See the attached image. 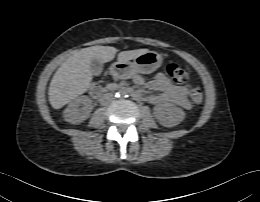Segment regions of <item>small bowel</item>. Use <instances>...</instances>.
<instances>
[{
  "label": "small bowel",
  "mask_w": 260,
  "mask_h": 202,
  "mask_svg": "<svg viewBox=\"0 0 260 202\" xmlns=\"http://www.w3.org/2000/svg\"><path fill=\"white\" fill-rule=\"evenodd\" d=\"M132 80L137 85L145 84L143 77L138 74H134ZM146 86L150 90L158 92V94H150L145 97V100L151 104L171 103L185 110L191 108L187 99L189 87L174 84L162 72L158 73L153 80L147 82Z\"/></svg>",
  "instance_id": "1"
}]
</instances>
